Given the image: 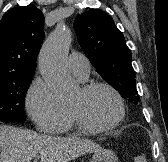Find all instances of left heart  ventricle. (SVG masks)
<instances>
[{
    "label": "left heart ventricle",
    "mask_w": 168,
    "mask_h": 162,
    "mask_svg": "<svg viewBox=\"0 0 168 162\" xmlns=\"http://www.w3.org/2000/svg\"><path fill=\"white\" fill-rule=\"evenodd\" d=\"M69 105L93 125L109 124L118 114L116 100L106 89H96L89 93H84L80 89Z\"/></svg>",
    "instance_id": "1"
}]
</instances>
